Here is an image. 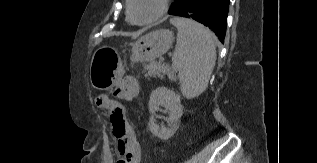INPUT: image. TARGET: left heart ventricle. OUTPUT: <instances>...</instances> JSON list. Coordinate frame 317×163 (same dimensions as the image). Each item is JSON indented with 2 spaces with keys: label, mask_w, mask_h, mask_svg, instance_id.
I'll list each match as a JSON object with an SVG mask.
<instances>
[{
  "label": "left heart ventricle",
  "mask_w": 317,
  "mask_h": 163,
  "mask_svg": "<svg viewBox=\"0 0 317 163\" xmlns=\"http://www.w3.org/2000/svg\"><path fill=\"white\" fill-rule=\"evenodd\" d=\"M160 0H133L132 15L138 21L147 20L157 14Z\"/></svg>",
  "instance_id": "1"
}]
</instances>
